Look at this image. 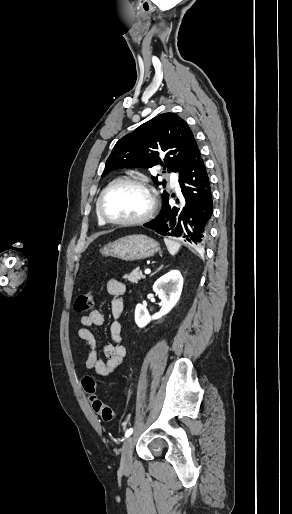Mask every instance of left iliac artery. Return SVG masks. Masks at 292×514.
<instances>
[{
  "label": "left iliac artery",
  "instance_id": "44dca946",
  "mask_svg": "<svg viewBox=\"0 0 292 514\" xmlns=\"http://www.w3.org/2000/svg\"><path fill=\"white\" fill-rule=\"evenodd\" d=\"M133 432V428H129L126 432H125V437H129Z\"/></svg>",
  "mask_w": 292,
  "mask_h": 514
}]
</instances>
